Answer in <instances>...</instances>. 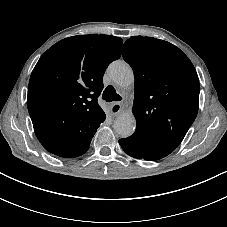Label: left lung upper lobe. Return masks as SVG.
I'll use <instances>...</instances> for the list:
<instances>
[{
	"label": "left lung upper lobe",
	"mask_w": 227,
	"mask_h": 227,
	"mask_svg": "<svg viewBox=\"0 0 227 227\" xmlns=\"http://www.w3.org/2000/svg\"><path fill=\"white\" fill-rule=\"evenodd\" d=\"M123 58L135 76L133 135L171 153L198 112L200 88L193 64L175 45L143 36L125 42Z\"/></svg>",
	"instance_id": "obj_1"
}]
</instances>
